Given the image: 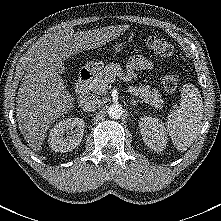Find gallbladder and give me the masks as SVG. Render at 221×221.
Returning a JSON list of instances; mask_svg holds the SVG:
<instances>
[{"label":"gallbladder","mask_w":221,"mask_h":221,"mask_svg":"<svg viewBox=\"0 0 221 221\" xmlns=\"http://www.w3.org/2000/svg\"><path fill=\"white\" fill-rule=\"evenodd\" d=\"M60 71H61V72H64V71H65V69L61 68V69H60Z\"/></svg>","instance_id":"gallbladder-1"}]
</instances>
